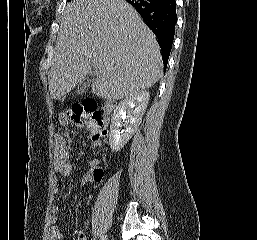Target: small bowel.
<instances>
[{
  "label": "small bowel",
  "mask_w": 257,
  "mask_h": 240,
  "mask_svg": "<svg viewBox=\"0 0 257 240\" xmlns=\"http://www.w3.org/2000/svg\"><path fill=\"white\" fill-rule=\"evenodd\" d=\"M99 166L98 160H92L89 162L87 173L83 179L84 183L99 182L102 176L95 174V169ZM54 171L60 176L67 177L72 172V165L69 161V148L67 139L62 134H56L54 136ZM57 193V189L55 190ZM59 207L53 205L51 207V229L49 232L50 240H62V232L57 226ZM76 240H86V236L83 231H79L76 236Z\"/></svg>",
  "instance_id": "1"
}]
</instances>
